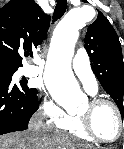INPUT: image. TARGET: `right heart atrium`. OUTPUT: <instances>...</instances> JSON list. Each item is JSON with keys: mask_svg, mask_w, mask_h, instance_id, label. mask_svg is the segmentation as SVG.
<instances>
[{"mask_svg": "<svg viewBox=\"0 0 124 149\" xmlns=\"http://www.w3.org/2000/svg\"><path fill=\"white\" fill-rule=\"evenodd\" d=\"M40 113L49 119V124H55L60 128H63L71 118L64 110L51 100H44L42 102Z\"/></svg>", "mask_w": 124, "mask_h": 149, "instance_id": "d8ad5b80", "label": "right heart atrium"}]
</instances>
